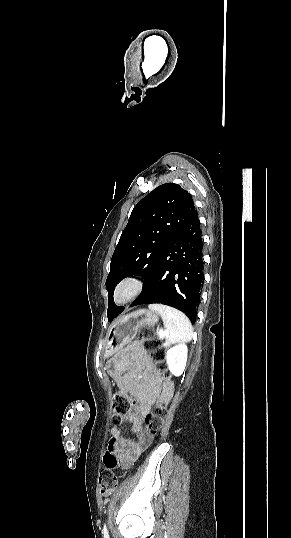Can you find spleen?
Segmentation results:
<instances>
[{
	"instance_id": "3e777b00",
	"label": "spleen",
	"mask_w": 291,
	"mask_h": 538,
	"mask_svg": "<svg viewBox=\"0 0 291 538\" xmlns=\"http://www.w3.org/2000/svg\"><path fill=\"white\" fill-rule=\"evenodd\" d=\"M149 309L159 313L167 331V342H187L191 340L193 329L188 317L179 310L162 304H150Z\"/></svg>"
}]
</instances>
